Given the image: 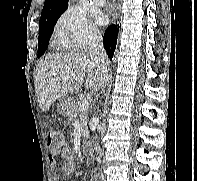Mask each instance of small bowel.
<instances>
[{"instance_id": "c3829d8e", "label": "small bowel", "mask_w": 197, "mask_h": 181, "mask_svg": "<svg viewBox=\"0 0 197 181\" xmlns=\"http://www.w3.org/2000/svg\"><path fill=\"white\" fill-rule=\"evenodd\" d=\"M57 156H60L62 159V164H61L62 174L67 177L72 176L76 170V162L74 160V157L72 156L70 147L64 145L61 148V150H59L58 152L50 151L49 163L51 168H55L57 166V159H56ZM53 180L57 181V177H54Z\"/></svg>"}]
</instances>
